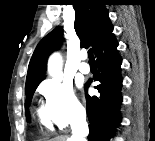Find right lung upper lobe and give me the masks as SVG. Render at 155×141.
Masks as SVG:
<instances>
[{
    "instance_id": "1",
    "label": "right lung upper lobe",
    "mask_w": 155,
    "mask_h": 141,
    "mask_svg": "<svg viewBox=\"0 0 155 141\" xmlns=\"http://www.w3.org/2000/svg\"><path fill=\"white\" fill-rule=\"evenodd\" d=\"M74 6L76 12L74 28L81 40V46H92L95 50L113 31L108 11L102 0H76ZM62 34L63 28L57 27L39 42L29 63L26 87L42 81L47 58L59 47L63 39Z\"/></svg>"
}]
</instances>
